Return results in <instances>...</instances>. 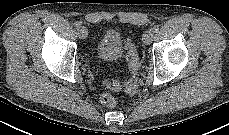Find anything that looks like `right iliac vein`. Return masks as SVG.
<instances>
[{"label":"right iliac vein","mask_w":229,"mask_h":135,"mask_svg":"<svg viewBox=\"0 0 229 135\" xmlns=\"http://www.w3.org/2000/svg\"><path fill=\"white\" fill-rule=\"evenodd\" d=\"M78 34L81 39H85L88 36V31L85 27H81L78 29Z\"/></svg>","instance_id":"right-iliac-vein-1"}]
</instances>
